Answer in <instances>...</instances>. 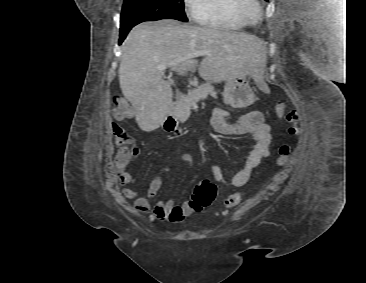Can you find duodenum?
Instances as JSON below:
<instances>
[{
	"instance_id": "1",
	"label": "duodenum",
	"mask_w": 366,
	"mask_h": 283,
	"mask_svg": "<svg viewBox=\"0 0 366 283\" xmlns=\"http://www.w3.org/2000/svg\"><path fill=\"white\" fill-rule=\"evenodd\" d=\"M164 129L170 132H177L178 130V120L172 111H170L165 118Z\"/></svg>"
}]
</instances>
